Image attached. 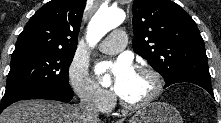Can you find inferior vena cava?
<instances>
[{
  "mask_svg": "<svg viewBox=\"0 0 221 123\" xmlns=\"http://www.w3.org/2000/svg\"><path fill=\"white\" fill-rule=\"evenodd\" d=\"M78 110L83 123L98 122L99 111L94 102V95L89 93L81 100Z\"/></svg>",
  "mask_w": 221,
  "mask_h": 123,
  "instance_id": "obj_1",
  "label": "inferior vena cava"
}]
</instances>
